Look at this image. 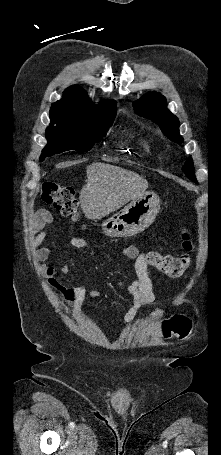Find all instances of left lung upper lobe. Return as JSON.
<instances>
[{"label": "left lung upper lobe", "instance_id": "obj_1", "mask_svg": "<svg viewBox=\"0 0 221 455\" xmlns=\"http://www.w3.org/2000/svg\"><path fill=\"white\" fill-rule=\"evenodd\" d=\"M135 112L157 123L162 132L172 141L181 144L179 121L166 107V99L160 93L150 92L134 103ZM188 178L196 182L193 161L189 157L182 167Z\"/></svg>", "mask_w": 221, "mask_h": 455}]
</instances>
